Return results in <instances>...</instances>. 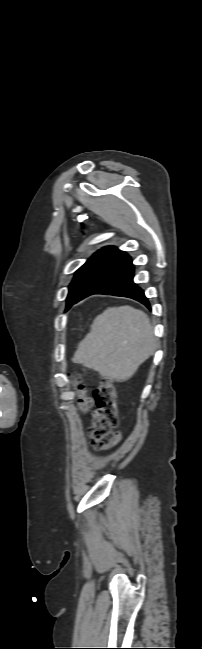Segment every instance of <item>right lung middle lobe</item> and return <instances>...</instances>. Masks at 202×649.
I'll return each instance as SVG.
<instances>
[{"instance_id":"right-lung-middle-lobe-1","label":"right lung middle lobe","mask_w":202,"mask_h":649,"mask_svg":"<svg viewBox=\"0 0 202 649\" xmlns=\"http://www.w3.org/2000/svg\"><path fill=\"white\" fill-rule=\"evenodd\" d=\"M116 257L117 256L115 255L94 254L80 269L76 271L69 286L67 309L79 301L78 297L81 295L86 285Z\"/></svg>"}]
</instances>
